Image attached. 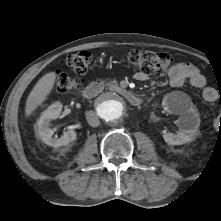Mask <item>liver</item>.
Masks as SVG:
<instances>
[{"mask_svg": "<svg viewBox=\"0 0 221 221\" xmlns=\"http://www.w3.org/2000/svg\"><path fill=\"white\" fill-rule=\"evenodd\" d=\"M55 80V72H49L39 79L26 100V116H30L46 100L54 87Z\"/></svg>", "mask_w": 221, "mask_h": 221, "instance_id": "1", "label": "liver"}]
</instances>
